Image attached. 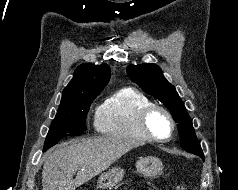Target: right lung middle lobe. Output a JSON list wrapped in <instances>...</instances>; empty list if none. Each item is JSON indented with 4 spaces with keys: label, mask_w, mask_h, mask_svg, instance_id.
Wrapping results in <instances>:
<instances>
[{
    "label": "right lung middle lobe",
    "mask_w": 238,
    "mask_h": 190,
    "mask_svg": "<svg viewBox=\"0 0 238 190\" xmlns=\"http://www.w3.org/2000/svg\"><path fill=\"white\" fill-rule=\"evenodd\" d=\"M97 95H80L69 102L60 103L47 134L43 151L55 145L66 133L77 134L86 130V116L91 102Z\"/></svg>",
    "instance_id": "dd1d6c3e"
}]
</instances>
